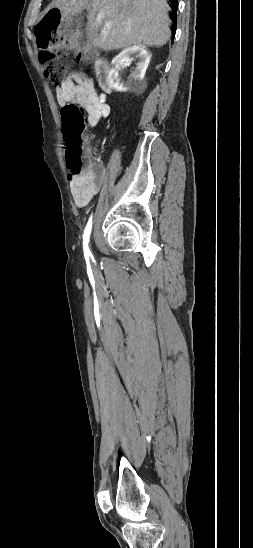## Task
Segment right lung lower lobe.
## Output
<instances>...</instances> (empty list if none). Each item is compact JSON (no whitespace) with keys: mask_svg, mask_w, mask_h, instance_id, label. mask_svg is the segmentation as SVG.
Listing matches in <instances>:
<instances>
[{"mask_svg":"<svg viewBox=\"0 0 253 548\" xmlns=\"http://www.w3.org/2000/svg\"><path fill=\"white\" fill-rule=\"evenodd\" d=\"M172 4V7L174 9V14H173V21L175 23V26H174V31L176 30V10H177V6H178V0H169Z\"/></svg>","mask_w":253,"mask_h":548,"instance_id":"obj_1","label":"right lung lower lobe"}]
</instances>
